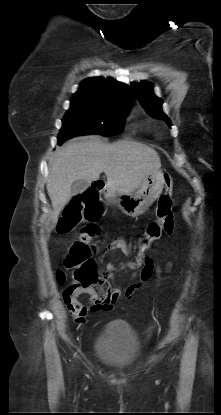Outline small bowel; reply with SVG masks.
Returning <instances> with one entry per match:
<instances>
[{
	"mask_svg": "<svg viewBox=\"0 0 221 415\" xmlns=\"http://www.w3.org/2000/svg\"><path fill=\"white\" fill-rule=\"evenodd\" d=\"M164 232L171 234L173 231V220L170 224L164 228ZM107 250H120L126 256L131 255V247L124 238H116L106 245L103 252ZM147 262L144 271H139L140 281L132 283L127 286L123 292L118 286L111 285L105 291H100L94 286H85L79 284H72L67 287L63 293L65 304L78 324H82L86 321L88 313L95 311H109L112 309L113 304L122 297L131 298L133 294L139 290L146 281H148L153 274L157 277L160 276V267L154 262V260L146 254ZM129 268L134 269L135 265L131 261H125L118 263L117 266L107 267V270H113L112 277L121 272L122 270ZM111 277V278H112ZM87 294L89 295V305H83L79 300V296Z\"/></svg>",
	"mask_w": 221,
	"mask_h": 415,
	"instance_id": "obj_1",
	"label": "small bowel"
}]
</instances>
